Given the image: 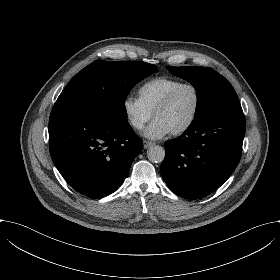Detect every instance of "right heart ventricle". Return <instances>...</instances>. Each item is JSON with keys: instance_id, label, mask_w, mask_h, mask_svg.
<instances>
[{"instance_id": "1", "label": "right heart ventricle", "mask_w": 280, "mask_h": 280, "mask_svg": "<svg viewBox=\"0 0 280 280\" xmlns=\"http://www.w3.org/2000/svg\"><path fill=\"white\" fill-rule=\"evenodd\" d=\"M183 80L171 76H156L143 82L137 90L138 98L153 113L157 105Z\"/></svg>"}]
</instances>
